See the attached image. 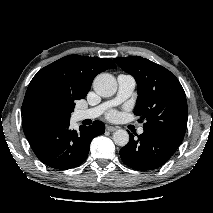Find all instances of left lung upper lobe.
Returning a JSON list of instances; mask_svg holds the SVG:
<instances>
[{
  "label": "left lung upper lobe",
  "instance_id": "left-lung-upper-lobe-1",
  "mask_svg": "<svg viewBox=\"0 0 213 213\" xmlns=\"http://www.w3.org/2000/svg\"><path fill=\"white\" fill-rule=\"evenodd\" d=\"M114 61L137 82L139 96L134 114L145 120L144 129L183 139L188 108L185 92L176 76L139 56L114 58Z\"/></svg>",
  "mask_w": 213,
  "mask_h": 213
}]
</instances>
